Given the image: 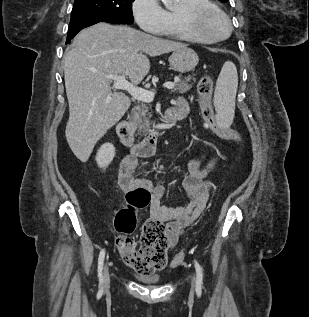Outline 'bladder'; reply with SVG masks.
Returning <instances> with one entry per match:
<instances>
[{"instance_id":"31cf9c89","label":"bladder","mask_w":309,"mask_h":317,"mask_svg":"<svg viewBox=\"0 0 309 317\" xmlns=\"http://www.w3.org/2000/svg\"><path fill=\"white\" fill-rule=\"evenodd\" d=\"M137 279L143 283L156 284L160 281V276L158 274L137 275Z\"/></svg>"}]
</instances>
